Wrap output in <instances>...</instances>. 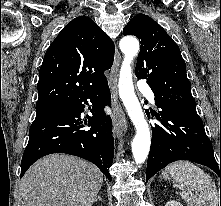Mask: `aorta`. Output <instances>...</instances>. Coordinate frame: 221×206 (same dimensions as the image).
<instances>
[{
	"mask_svg": "<svg viewBox=\"0 0 221 206\" xmlns=\"http://www.w3.org/2000/svg\"><path fill=\"white\" fill-rule=\"evenodd\" d=\"M119 46L124 54L118 82L119 96L136 129V135L132 141V154L135 162L140 164L148 156L151 134L141 105L135 95L132 81L131 63L139 51V41L132 36H125L120 40Z\"/></svg>",
	"mask_w": 221,
	"mask_h": 206,
	"instance_id": "aorta-1",
	"label": "aorta"
}]
</instances>
